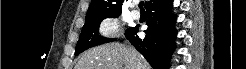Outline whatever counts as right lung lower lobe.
I'll return each mask as SVG.
<instances>
[{"mask_svg": "<svg viewBox=\"0 0 246 69\" xmlns=\"http://www.w3.org/2000/svg\"><path fill=\"white\" fill-rule=\"evenodd\" d=\"M171 0H156L146 7L148 28L144 39L136 34L139 26L126 30L125 36L147 59L153 69H167L169 58L175 48V17L171 15Z\"/></svg>", "mask_w": 246, "mask_h": 69, "instance_id": "98d812e1", "label": "right lung lower lobe"}]
</instances>
